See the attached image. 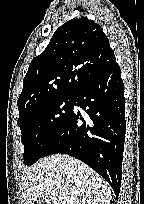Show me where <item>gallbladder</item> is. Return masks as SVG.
Masks as SVG:
<instances>
[{
  "label": "gallbladder",
  "mask_w": 144,
  "mask_h": 204,
  "mask_svg": "<svg viewBox=\"0 0 144 204\" xmlns=\"http://www.w3.org/2000/svg\"><path fill=\"white\" fill-rule=\"evenodd\" d=\"M36 204H44V203H43V200H39L36 202Z\"/></svg>",
  "instance_id": "obj_1"
}]
</instances>
